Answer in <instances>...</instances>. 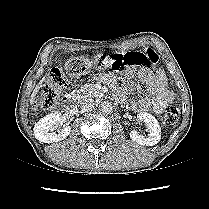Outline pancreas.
I'll use <instances>...</instances> for the list:
<instances>
[{"label": "pancreas", "mask_w": 209, "mask_h": 209, "mask_svg": "<svg viewBox=\"0 0 209 209\" xmlns=\"http://www.w3.org/2000/svg\"><path fill=\"white\" fill-rule=\"evenodd\" d=\"M74 93L78 100L85 97H98L103 95L102 91L96 89L93 84H84L74 90Z\"/></svg>", "instance_id": "obj_1"}]
</instances>
